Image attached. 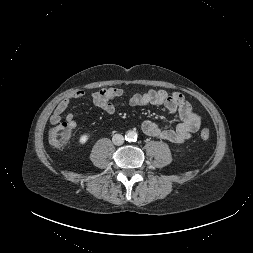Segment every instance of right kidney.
<instances>
[{
	"mask_svg": "<svg viewBox=\"0 0 253 253\" xmlns=\"http://www.w3.org/2000/svg\"><path fill=\"white\" fill-rule=\"evenodd\" d=\"M89 139V136L87 134L81 135L80 139H79V143L80 144H85Z\"/></svg>",
	"mask_w": 253,
	"mask_h": 253,
	"instance_id": "right-kidney-1",
	"label": "right kidney"
}]
</instances>
